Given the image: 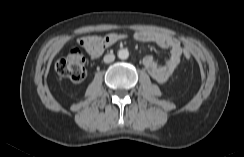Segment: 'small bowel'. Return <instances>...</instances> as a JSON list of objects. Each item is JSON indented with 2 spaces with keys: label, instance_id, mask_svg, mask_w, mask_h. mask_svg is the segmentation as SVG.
Returning <instances> with one entry per match:
<instances>
[{
  "label": "small bowel",
  "instance_id": "obj_1",
  "mask_svg": "<svg viewBox=\"0 0 244 157\" xmlns=\"http://www.w3.org/2000/svg\"><path fill=\"white\" fill-rule=\"evenodd\" d=\"M116 34V33H114ZM119 40L125 38L124 34H116ZM134 39L139 42L154 43L169 51V58L164 63L155 60L151 55L143 59V64L151 77L159 83L168 81L181 62L183 49L180 42L172 36L155 31H139L134 34ZM116 41V42H117ZM79 44L87 51L91 58L95 59L102 55L107 47H101L94 42V36H83Z\"/></svg>",
  "mask_w": 244,
  "mask_h": 157
}]
</instances>
